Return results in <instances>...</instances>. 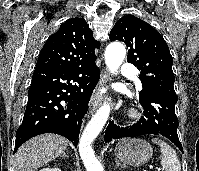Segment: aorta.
Instances as JSON below:
<instances>
[{"label":"aorta","mask_w":199,"mask_h":171,"mask_svg":"<svg viewBox=\"0 0 199 171\" xmlns=\"http://www.w3.org/2000/svg\"><path fill=\"white\" fill-rule=\"evenodd\" d=\"M125 55V47L119 42H113L106 47L105 62L112 74L119 69ZM109 114L110 105L105 102L89 121L80 138L79 153L87 171H103L100 162L95 157L91 144L103 129Z\"/></svg>","instance_id":"obj_1"}]
</instances>
